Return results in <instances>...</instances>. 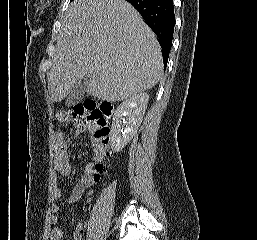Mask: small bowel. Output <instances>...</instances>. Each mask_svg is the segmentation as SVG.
<instances>
[{
    "mask_svg": "<svg viewBox=\"0 0 257 240\" xmlns=\"http://www.w3.org/2000/svg\"><path fill=\"white\" fill-rule=\"evenodd\" d=\"M54 147H55V159H54V170L57 174L62 177H67L72 173V165L69 160V143L70 139L62 131L57 132L54 137ZM94 163H89L86 165L82 177L79 179L73 190L67 195L63 196L59 188H54V196L57 199L64 198L67 202L77 201L82 194L91 187L94 183L99 181L100 178L96 177L93 172ZM59 211V206L53 204L51 206V217L50 221L52 225L57 224ZM63 234L58 227H53L49 234L50 240H62ZM74 240H84V228L82 224H78L74 231Z\"/></svg>",
    "mask_w": 257,
    "mask_h": 240,
    "instance_id": "1",
    "label": "small bowel"
}]
</instances>
